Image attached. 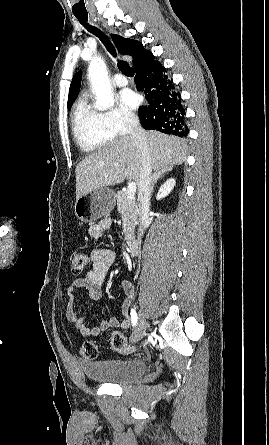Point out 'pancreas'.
I'll return each instance as SVG.
<instances>
[{
	"label": "pancreas",
	"mask_w": 269,
	"mask_h": 445,
	"mask_svg": "<svg viewBox=\"0 0 269 445\" xmlns=\"http://www.w3.org/2000/svg\"><path fill=\"white\" fill-rule=\"evenodd\" d=\"M117 210L122 218L123 233L125 241L130 243L134 239V230L139 215L138 205L135 198L128 199L127 193L119 191L116 195Z\"/></svg>",
	"instance_id": "1"
}]
</instances>
